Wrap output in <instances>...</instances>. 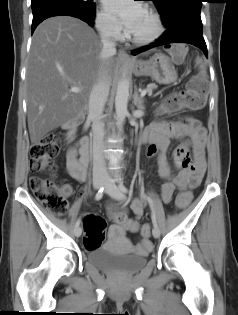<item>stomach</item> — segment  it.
<instances>
[{
  "label": "stomach",
  "instance_id": "1",
  "mask_svg": "<svg viewBox=\"0 0 238 315\" xmlns=\"http://www.w3.org/2000/svg\"><path fill=\"white\" fill-rule=\"evenodd\" d=\"M142 71L139 76H150L160 84H170L177 79V72L168 56L156 53L148 60H140Z\"/></svg>",
  "mask_w": 238,
  "mask_h": 315
}]
</instances>
